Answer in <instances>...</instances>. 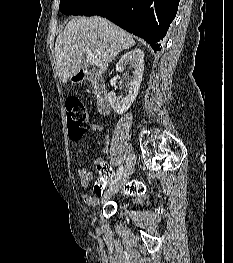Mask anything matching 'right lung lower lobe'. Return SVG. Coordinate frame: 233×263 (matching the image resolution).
<instances>
[{"instance_id": "98d812e1", "label": "right lung lower lobe", "mask_w": 233, "mask_h": 263, "mask_svg": "<svg viewBox=\"0 0 233 263\" xmlns=\"http://www.w3.org/2000/svg\"><path fill=\"white\" fill-rule=\"evenodd\" d=\"M179 0H101L87 16L106 17L161 50L160 41L176 16Z\"/></svg>"}]
</instances>
